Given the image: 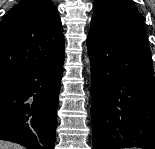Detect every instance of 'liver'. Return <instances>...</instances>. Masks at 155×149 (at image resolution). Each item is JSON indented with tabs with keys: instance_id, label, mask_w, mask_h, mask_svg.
<instances>
[{
	"instance_id": "6515ba94",
	"label": "liver",
	"mask_w": 155,
	"mask_h": 149,
	"mask_svg": "<svg viewBox=\"0 0 155 149\" xmlns=\"http://www.w3.org/2000/svg\"><path fill=\"white\" fill-rule=\"evenodd\" d=\"M0 149H23V147L18 144L0 140Z\"/></svg>"
}]
</instances>
